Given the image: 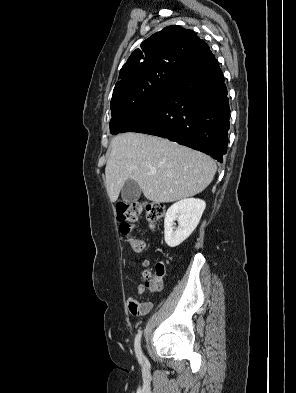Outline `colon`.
<instances>
[{
	"label": "colon",
	"instance_id": "5ec220e1",
	"mask_svg": "<svg viewBox=\"0 0 296 393\" xmlns=\"http://www.w3.org/2000/svg\"><path fill=\"white\" fill-rule=\"evenodd\" d=\"M145 212L148 222L153 225L161 220L165 213V207L162 203L154 201H139L132 204L122 203L117 210V217L120 222L121 237L126 239L134 251L141 252L144 250V242L138 236L132 234L134 223L138 220L140 214ZM162 273V266L158 265L155 272H146L145 279L151 288H156L159 284V278Z\"/></svg>",
	"mask_w": 296,
	"mask_h": 393
}]
</instances>
